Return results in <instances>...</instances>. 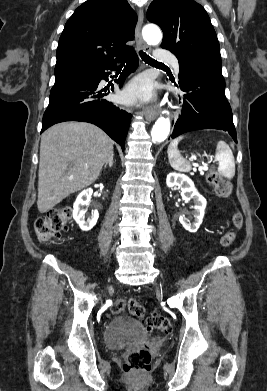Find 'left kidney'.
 Here are the masks:
<instances>
[{"instance_id":"obj_1","label":"left kidney","mask_w":267,"mask_h":391,"mask_svg":"<svg viewBox=\"0 0 267 391\" xmlns=\"http://www.w3.org/2000/svg\"><path fill=\"white\" fill-rule=\"evenodd\" d=\"M166 184L169 188L178 186L185 201H190L191 199L194 200V221L191 222L183 215L179 217V221L189 232H196L204 217L207 204L206 199L199 194L194 186L193 181L184 174L170 173L167 176Z\"/></svg>"}]
</instances>
